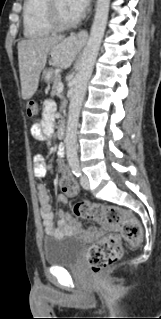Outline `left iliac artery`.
Listing matches in <instances>:
<instances>
[{
    "instance_id": "left-iliac-artery-1",
    "label": "left iliac artery",
    "mask_w": 161,
    "mask_h": 319,
    "mask_svg": "<svg viewBox=\"0 0 161 319\" xmlns=\"http://www.w3.org/2000/svg\"><path fill=\"white\" fill-rule=\"evenodd\" d=\"M71 170L77 177L81 176V169L78 162L71 164Z\"/></svg>"
}]
</instances>
